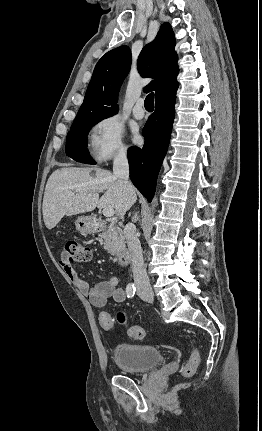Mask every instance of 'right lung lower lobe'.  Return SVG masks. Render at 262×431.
<instances>
[{"label":"right lung lower lobe","instance_id":"obj_1","mask_svg":"<svg viewBox=\"0 0 262 431\" xmlns=\"http://www.w3.org/2000/svg\"><path fill=\"white\" fill-rule=\"evenodd\" d=\"M176 91L156 100L155 112L148 118L142 134L143 148L131 147L128 151L130 178L135 187L151 202L157 176L166 155L174 119Z\"/></svg>","mask_w":262,"mask_h":431}]
</instances>
